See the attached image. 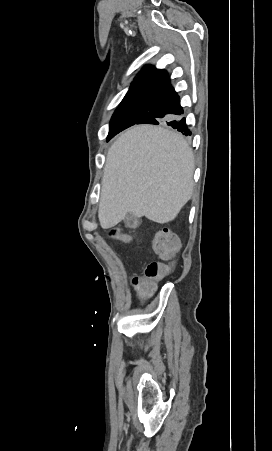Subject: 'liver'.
Here are the masks:
<instances>
[{
	"instance_id": "liver-1",
	"label": "liver",
	"mask_w": 272,
	"mask_h": 451,
	"mask_svg": "<svg viewBox=\"0 0 272 451\" xmlns=\"http://www.w3.org/2000/svg\"><path fill=\"white\" fill-rule=\"evenodd\" d=\"M193 152L178 132L161 126H134L108 150L98 218L103 229L126 214L172 222L194 188Z\"/></svg>"
}]
</instances>
